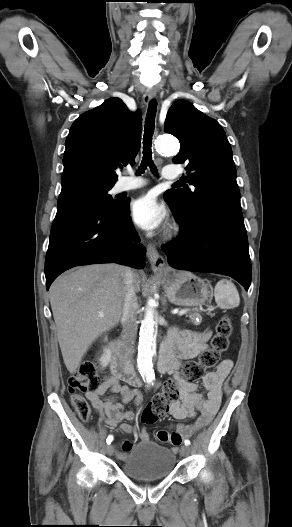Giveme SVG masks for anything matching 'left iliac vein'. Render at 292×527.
I'll return each instance as SVG.
<instances>
[{"label": "left iliac vein", "mask_w": 292, "mask_h": 527, "mask_svg": "<svg viewBox=\"0 0 292 527\" xmlns=\"http://www.w3.org/2000/svg\"><path fill=\"white\" fill-rule=\"evenodd\" d=\"M189 453H190V449H189L188 446L184 445V446L181 447L180 454L182 456H187Z\"/></svg>", "instance_id": "4c4485c4"}]
</instances>
